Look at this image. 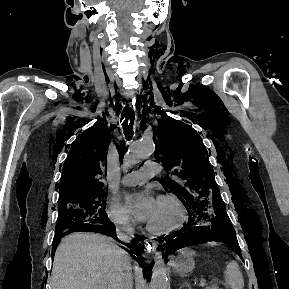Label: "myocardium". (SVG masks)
I'll return each mask as SVG.
<instances>
[{"instance_id": "1", "label": "myocardium", "mask_w": 289, "mask_h": 289, "mask_svg": "<svg viewBox=\"0 0 289 289\" xmlns=\"http://www.w3.org/2000/svg\"><path fill=\"white\" fill-rule=\"evenodd\" d=\"M158 201L170 202L173 204L179 213L178 220L174 224L163 228H155L148 223L146 226L147 230L154 235H163L169 234L182 228L187 218V211L184 204L176 196L168 194L159 196Z\"/></svg>"}]
</instances>
